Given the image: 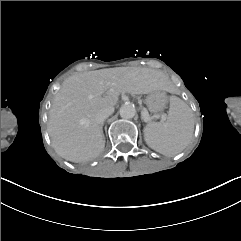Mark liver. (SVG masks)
Masks as SVG:
<instances>
[{"mask_svg": "<svg viewBox=\"0 0 241 241\" xmlns=\"http://www.w3.org/2000/svg\"><path fill=\"white\" fill-rule=\"evenodd\" d=\"M167 90L164 74L147 68L125 67L75 74L55 95L48 132L55 152L75 163L95 159L105 140L96 115L114 107L121 93L148 94Z\"/></svg>", "mask_w": 241, "mask_h": 241, "instance_id": "1", "label": "liver"}]
</instances>
